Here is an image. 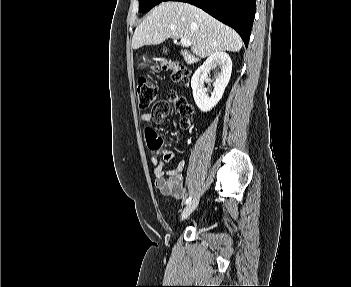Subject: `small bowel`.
Here are the masks:
<instances>
[{"label": "small bowel", "instance_id": "obj_1", "mask_svg": "<svg viewBox=\"0 0 351 287\" xmlns=\"http://www.w3.org/2000/svg\"><path fill=\"white\" fill-rule=\"evenodd\" d=\"M154 119L153 114L144 113L141 115L143 124V137L150 152L155 186L163 194L182 200L186 195V186L182 173L185 169V161L179 160L172 170H164V166L175 159L174 152L162 146L163 139L160 132H156V127L150 124Z\"/></svg>", "mask_w": 351, "mask_h": 287}]
</instances>
